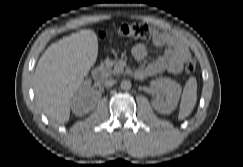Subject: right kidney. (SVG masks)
Wrapping results in <instances>:
<instances>
[{
	"instance_id": "right-kidney-1",
	"label": "right kidney",
	"mask_w": 243,
	"mask_h": 167,
	"mask_svg": "<svg viewBox=\"0 0 243 167\" xmlns=\"http://www.w3.org/2000/svg\"><path fill=\"white\" fill-rule=\"evenodd\" d=\"M99 97L91 90V80H84L71 99V108L75 115L82 116L90 112Z\"/></svg>"
}]
</instances>
